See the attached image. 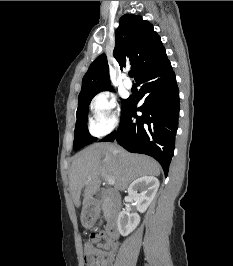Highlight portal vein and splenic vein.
Wrapping results in <instances>:
<instances>
[{"mask_svg": "<svg viewBox=\"0 0 233 266\" xmlns=\"http://www.w3.org/2000/svg\"><path fill=\"white\" fill-rule=\"evenodd\" d=\"M105 180L106 182L109 184V185H114L115 184V180L111 177H105Z\"/></svg>", "mask_w": 233, "mask_h": 266, "instance_id": "18ae733b", "label": "portal vein and splenic vein"}]
</instances>
